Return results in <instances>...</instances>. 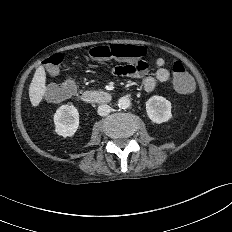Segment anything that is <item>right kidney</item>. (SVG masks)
Returning <instances> with one entry per match:
<instances>
[{
    "instance_id": "obj_1",
    "label": "right kidney",
    "mask_w": 232,
    "mask_h": 232,
    "mask_svg": "<svg viewBox=\"0 0 232 232\" xmlns=\"http://www.w3.org/2000/svg\"><path fill=\"white\" fill-rule=\"evenodd\" d=\"M55 131L63 137H72L79 126V113L73 105H62L54 114Z\"/></svg>"
}]
</instances>
